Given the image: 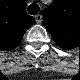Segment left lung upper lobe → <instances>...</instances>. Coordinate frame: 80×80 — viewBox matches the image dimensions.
<instances>
[{
    "label": "left lung upper lobe",
    "mask_w": 80,
    "mask_h": 80,
    "mask_svg": "<svg viewBox=\"0 0 80 80\" xmlns=\"http://www.w3.org/2000/svg\"><path fill=\"white\" fill-rule=\"evenodd\" d=\"M70 0H54L43 15V23L58 45L71 43L76 30Z\"/></svg>",
    "instance_id": "left-lung-upper-lobe-1"
}]
</instances>
